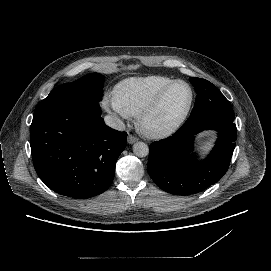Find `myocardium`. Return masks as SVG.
I'll use <instances>...</instances> for the list:
<instances>
[{
  "mask_svg": "<svg viewBox=\"0 0 271 271\" xmlns=\"http://www.w3.org/2000/svg\"><path fill=\"white\" fill-rule=\"evenodd\" d=\"M178 83H185L191 89V100L186 108L185 112L182 116L173 124L165 128H150L148 126L149 118L161 107L163 101L165 100L166 96L168 95L169 91ZM195 88L194 86L185 79H175L171 83H169L153 100V102L147 106L143 112L139 115V125L141 130L149 137L152 138H164L167 136L172 135L177 130L181 128V126L186 122L187 118L189 117L191 110L195 103Z\"/></svg>",
  "mask_w": 271,
  "mask_h": 271,
  "instance_id": "f54148a6",
  "label": "myocardium"
}]
</instances>
